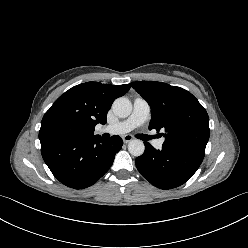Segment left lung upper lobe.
I'll return each mask as SVG.
<instances>
[{
    "mask_svg": "<svg viewBox=\"0 0 248 248\" xmlns=\"http://www.w3.org/2000/svg\"><path fill=\"white\" fill-rule=\"evenodd\" d=\"M131 86L151 107L149 129L165 131L164 147L205 153L209 117L190 92L155 81L133 82Z\"/></svg>",
    "mask_w": 248,
    "mask_h": 248,
    "instance_id": "left-lung-upper-lobe-1",
    "label": "left lung upper lobe"
}]
</instances>
